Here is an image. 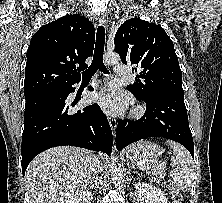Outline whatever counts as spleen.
Returning a JSON list of instances; mask_svg holds the SVG:
<instances>
[{
	"instance_id": "1",
	"label": "spleen",
	"mask_w": 222,
	"mask_h": 203,
	"mask_svg": "<svg viewBox=\"0 0 222 203\" xmlns=\"http://www.w3.org/2000/svg\"><path fill=\"white\" fill-rule=\"evenodd\" d=\"M167 144L173 149L171 162L174 168L170 171V176L184 192H188L195 178L192 157L181 144L173 141H167Z\"/></svg>"
}]
</instances>
